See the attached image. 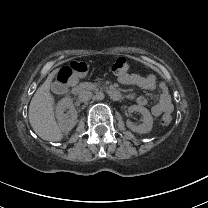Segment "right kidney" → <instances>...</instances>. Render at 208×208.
<instances>
[{
  "instance_id": "obj_1",
  "label": "right kidney",
  "mask_w": 208,
  "mask_h": 208,
  "mask_svg": "<svg viewBox=\"0 0 208 208\" xmlns=\"http://www.w3.org/2000/svg\"><path fill=\"white\" fill-rule=\"evenodd\" d=\"M56 115L60 129L68 133L77 124V110L70 98L62 99L56 107Z\"/></svg>"
}]
</instances>
